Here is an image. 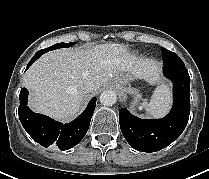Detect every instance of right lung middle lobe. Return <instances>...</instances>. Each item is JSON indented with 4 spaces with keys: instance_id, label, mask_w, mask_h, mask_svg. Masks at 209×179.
Segmentation results:
<instances>
[{
    "instance_id": "obj_1",
    "label": "right lung middle lobe",
    "mask_w": 209,
    "mask_h": 179,
    "mask_svg": "<svg viewBox=\"0 0 209 179\" xmlns=\"http://www.w3.org/2000/svg\"><path fill=\"white\" fill-rule=\"evenodd\" d=\"M75 44V42H71V43H58V44H55L51 47H48V48H45V49H41L39 50L37 53H46L48 51H51V50H55V49H58V48H66V47H70V46H73Z\"/></svg>"
}]
</instances>
